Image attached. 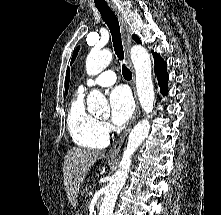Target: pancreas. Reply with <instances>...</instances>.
I'll return each instance as SVG.
<instances>
[{
  "instance_id": "pancreas-1",
  "label": "pancreas",
  "mask_w": 221,
  "mask_h": 215,
  "mask_svg": "<svg viewBox=\"0 0 221 215\" xmlns=\"http://www.w3.org/2000/svg\"><path fill=\"white\" fill-rule=\"evenodd\" d=\"M91 189V186L90 185H87L85 186V188L83 189V192H82V196L85 198V205L88 206L89 205V200L86 199L87 196H88V191Z\"/></svg>"
}]
</instances>
